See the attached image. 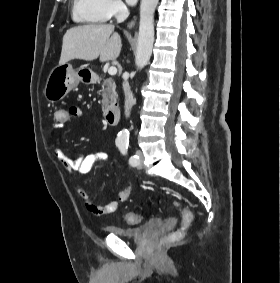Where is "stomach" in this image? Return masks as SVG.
<instances>
[{
	"label": "stomach",
	"instance_id": "stomach-1",
	"mask_svg": "<svg viewBox=\"0 0 280 283\" xmlns=\"http://www.w3.org/2000/svg\"><path fill=\"white\" fill-rule=\"evenodd\" d=\"M90 75L89 69L81 67L75 70L67 63L54 67L45 84V99L52 103L62 100L80 82H90Z\"/></svg>",
	"mask_w": 280,
	"mask_h": 283
}]
</instances>
